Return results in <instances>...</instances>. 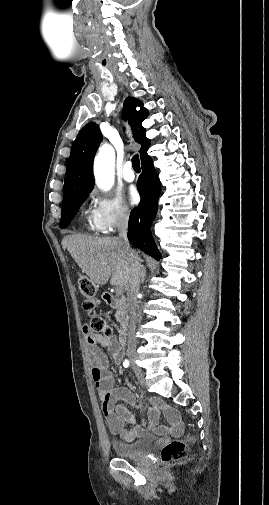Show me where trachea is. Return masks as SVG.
<instances>
[{"instance_id":"trachea-1","label":"trachea","mask_w":269,"mask_h":505,"mask_svg":"<svg viewBox=\"0 0 269 505\" xmlns=\"http://www.w3.org/2000/svg\"><path fill=\"white\" fill-rule=\"evenodd\" d=\"M132 166L134 170H140V160L138 154L134 155L132 158Z\"/></svg>"}]
</instances>
